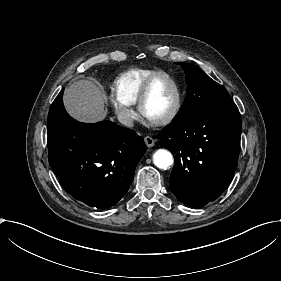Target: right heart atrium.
<instances>
[{"instance_id":"obj_1","label":"right heart atrium","mask_w":281,"mask_h":281,"mask_svg":"<svg viewBox=\"0 0 281 281\" xmlns=\"http://www.w3.org/2000/svg\"><path fill=\"white\" fill-rule=\"evenodd\" d=\"M109 100L112 104V107L117 114L118 118L124 124H131L136 118L135 110L128 104L119 100L116 96L110 95Z\"/></svg>"}]
</instances>
